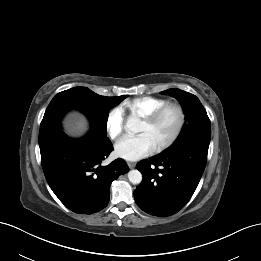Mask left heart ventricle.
Instances as JSON below:
<instances>
[{"label":"left heart ventricle","instance_id":"1","mask_svg":"<svg viewBox=\"0 0 261 261\" xmlns=\"http://www.w3.org/2000/svg\"><path fill=\"white\" fill-rule=\"evenodd\" d=\"M177 123V115L174 111H168L158 122L149 125L140 122L136 132L147 136L153 147L166 140L173 132Z\"/></svg>","mask_w":261,"mask_h":261}]
</instances>
